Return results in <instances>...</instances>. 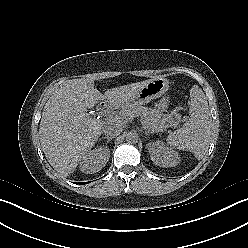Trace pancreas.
Instances as JSON below:
<instances>
[{
  "mask_svg": "<svg viewBox=\"0 0 248 248\" xmlns=\"http://www.w3.org/2000/svg\"><path fill=\"white\" fill-rule=\"evenodd\" d=\"M130 116L140 117L145 127L153 132H160L168 127L165 119L162 118L163 115L159 111L139 104H131L123 107L113 115V118H115L114 122L124 124ZM176 117L179 118L177 115ZM167 122L173 126L178 125V121H175L172 116L168 117Z\"/></svg>",
  "mask_w": 248,
  "mask_h": 248,
  "instance_id": "cf45deb5",
  "label": "pancreas"
}]
</instances>
